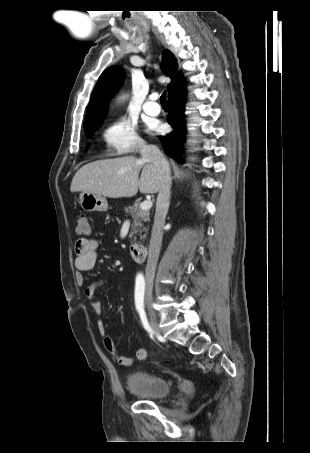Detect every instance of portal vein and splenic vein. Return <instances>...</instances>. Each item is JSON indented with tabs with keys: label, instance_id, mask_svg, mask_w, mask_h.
I'll return each mask as SVG.
<instances>
[{
	"label": "portal vein and splenic vein",
	"instance_id": "portal-vein-and-splenic-vein-1",
	"mask_svg": "<svg viewBox=\"0 0 310 453\" xmlns=\"http://www.w3.org/2000/svg\"><path fill=\"white\" fill-rule=\"evenodd\" d=\"M152 207V201L151 200H146L144 202H142V204L140 205V208L142 210H150Z\"/></svg>",
	"mask_w": 310,
	"mask_h": 453
}]
</instances>
